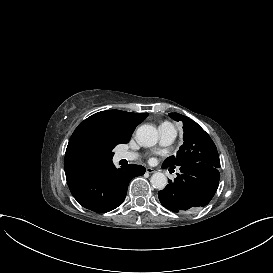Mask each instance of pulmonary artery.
I'll return each mask as SVG.
<instances>
[{
  "instance_id": "pulmonary-artery-1",
  "label": "pulmonary artery",
  "mask_w": 273,
  "mask_h": 273,
  "mask_svg": "<svg viewBox=\"0 0 273 273\" xmlns=\"http://www.w3.org/2000/svg\"><path fill=\"white\" fill-rule=\"evenodd\" d=\"M160 131L163 134L161 137V140L158 142V145L160 147H164V146H167V145L173 143V141L176 138V131H177V127L174 123L169 122L167 124L162 125L160 128ZM146 156H147V153L145 151H137L136 153L135 152H123L120 155V158L122 160H125V159L132 160V159H135L136 157L137 158H145Z\"/></svg>"
}]
</instances>
